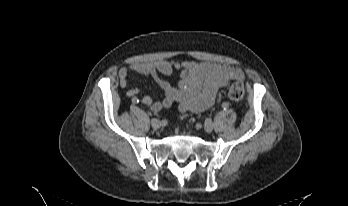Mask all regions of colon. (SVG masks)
I'll list each match as a JSON object with an SVG mask.
<instances>
[{
    "instance_id": "1",
    "label": "colon",
    "mask_w": 348,
    "mask_h": 206,
    "mask_svg": "<svg viewBox=\"0 0 348 206\" xmlns=\"http://www.w3.org/2000/svg\"><path fill=\"white\" fill-rule=\"evenodd\" d=\"M244 86L240 82H236L230 85L228 95L229 98L234 102H240L244 98Z\"/></svg>"
}]
</instances>
